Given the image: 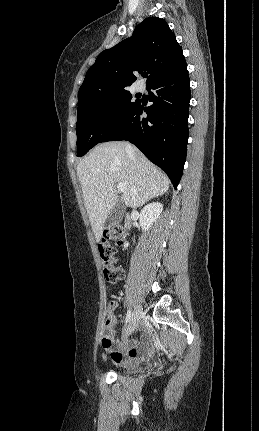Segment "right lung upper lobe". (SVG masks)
Returning a JSON list of instances; mask_svg holds the SVG:
<instances>
[{
  "mask_svg": "<svg viewBox=\"0 0 259 431\" xmlns=\"http://www.w3.org/2000/svg\"><path fill=\"white\" fill-rule=\"evenodd\" d=\"M186 63L174 33L161 18L149 17L132 36L101 52L86 73L78 93L80 103L90 95L126 89L135 73L147 71L149 85Z\"/></svg>",
  "mask_w": 259,
  "mask_h": 431,
  "instance_id": "cb5924a9",
  "label": "right lung upper lobe"
}]
</instances>
